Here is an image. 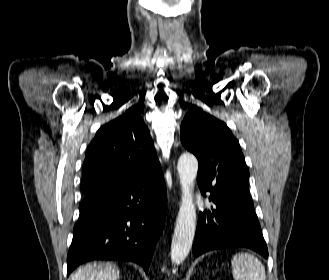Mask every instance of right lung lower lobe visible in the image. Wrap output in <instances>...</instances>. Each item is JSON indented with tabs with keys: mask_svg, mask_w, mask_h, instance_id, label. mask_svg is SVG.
I'll return each instance as SVG.
<instances>
[{
	"mask_svg": "<svg viewBox=\"0 0 329 280\" xmlns=\"http://www.w3.org/2000/svg\"><path fill=\"white\" fill-rule=\"evenodd\" d=\"M166 203L162 172L85 194L67 255V275L91 260L132 261L147 272L164 227Z\"/></svg>",
	"mask_w": 329,
	"mask_h": 280,
	"instance_id": "1",
	"label": "right lung lower lobe"
}]
</instances>
